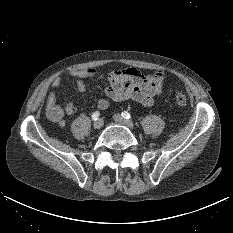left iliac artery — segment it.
<instances>
[{"instance_id": "44dca946", "label": "left iliac artery", "mask_w": 233, "mask_h": 233, "mask_svg": "<svg viewBox=\"0 0 233 233\" xmlns=\"http://www.w3.org/2000/svg\"><path fill=\"white\" fill-rule=\"evenodd\" d=\"M121 115H122L123 118H125V119H130V118H131L130 114H129L127 111H123V112L121 113Z\"/></svg>"}]
</instances>
